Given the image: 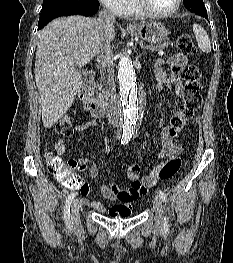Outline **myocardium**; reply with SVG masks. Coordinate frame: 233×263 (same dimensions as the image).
I'll return each mask as SVG.
<instances>
[{
    "instance_id": "f54148a6",
    "label": "myocardium",
    "mask_w": 233,
    "mask_h": 263,
    "mask_svg": "<svg viewBox=\"0 0 233 263\" xmlns=\"http://www.w3.org/2000/svg\"><path fill=\"white\" fill-rule=\"evenodd\" d=\"M135 7L139 10V12L147 17L156 18V19H164L173 16L176 14L181 6L182 0H176L174 7L165 13H157L152 11L145 3L144 0H133Z\"/></svg>"
}]
</instances>
